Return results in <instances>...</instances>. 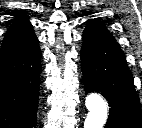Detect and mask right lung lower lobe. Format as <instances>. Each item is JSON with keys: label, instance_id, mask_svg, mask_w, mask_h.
<instances>
[{"label": "right lung lower lobe", "instance_id": "98d812e1", "mask_svg": "<svg viewBox=\"0 0 142 128\" xmlns=\"http://www.w3.org/2000/svg\"><path fill=\"white\" fill-rule=\"evenodd\" d=\"M40 74L38 40L24 52L0 61V128L37 125Z\"/></svg>", "mask_w": 142, "mask_h": 128}]
</instances>
